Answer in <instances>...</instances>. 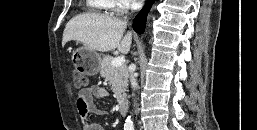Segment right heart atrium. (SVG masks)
Here are the masks:
<instances>
[{
	"mask_svg": "<svg viewBox=\"0 0 257 130\" xmlns=\"http://www.w3.org/2000/svg\"><path fill=\"white\" fill-rule=\"evenodd\" d=\"M114 8L118 10H125L136 4L137 0H113Z\"/></svg>",
	"mask_w": 257,
	"mask_h": 130,
	"instance_id": "obj_1",
	"label": "right heart atrium"
}]
</instances>
